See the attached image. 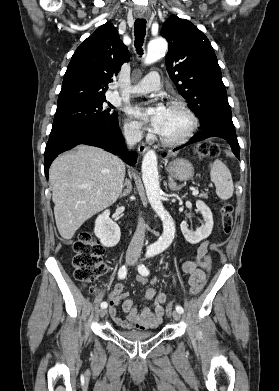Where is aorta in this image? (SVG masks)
<instances>
[{"mask_svg":"<svg viewBox=\"0 0 279 391\" xmlns=\"http://www.w3.org/2000/svg\"><path fill=\"white\" fill-rule=\"evenodd\" d=\"M167 41L164 38H155L148 44L145 64H151L167 51ZM142 180L146 189L148 201L163 223V234L152 248L161 252L168 248L175 235V225L171 215L165 210L161 201V189L158 176V161L154 150L145 153L142 161Z\"/></svg>","mask_w":279,"mask_h":391,"instance_id":"obj_1","label":"aorta"}]
</instances>
